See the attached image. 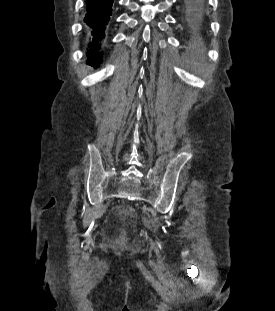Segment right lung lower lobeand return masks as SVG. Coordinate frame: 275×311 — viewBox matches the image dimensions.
Masks as SVG:
<instances>
[{
  "mask_svg": "<svg viewBox=\"0 0 275 311\" xmlns=\"http://www.w3.org/2000/svg\"><path fill=\"white\" fill-rule=\"evenodd\" d=\"M114 0H87L85 23L93 36L89 45L88 61L91 66L97 67L101 63L102 54L99 52L100 42L105 36V29L111 15Z\"/></svg>",
  "mask_w": 275,
  "mask_h": 311,
  "instance_id": "98d812e1",
  "label": "right lung lower lobe"
}]
</instances>
